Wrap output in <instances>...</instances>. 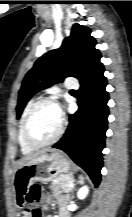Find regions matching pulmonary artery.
<instances>
[{"mask_svg": "<svg viewBox=\"0 0 132 217\" xmlns=\"http://www.w3.org/2000/svg\"><path fill=\"white\" fill-rule=\"evenodd\" d=\"M66 86L68 88H71V89L78 88V84L76 82H74L73 80H68L67 83H66Z\"/></svg>", "mask_w": 132, "mask_h": 217, "instance_id": "obj_1", "label": "pulmonary artery"}]
</instances>
